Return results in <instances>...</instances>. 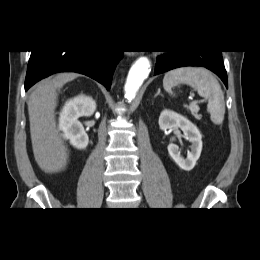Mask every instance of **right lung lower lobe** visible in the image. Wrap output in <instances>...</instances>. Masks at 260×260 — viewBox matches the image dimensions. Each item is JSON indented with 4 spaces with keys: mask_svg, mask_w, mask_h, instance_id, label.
Segmentation results:
<instances>
[{
    "mask_svg": "<svg viewBox=\"0 0 260 260\" xmlns=\"http://www.w3.org/2000/svg\"><path fill=\"white\" fill-rule=\"evenodd\" d=\"M123 51H32L25 79V91L56 72L85 74L110 89L112 75Z\"/></svg>",
    "mask_w": 260,
    "mask_h": 260,
    "instance_id": "98d812e1",
    "label": "right lung lower lobe"
}]
</instances>
